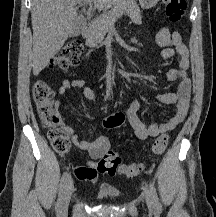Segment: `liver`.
<instances>
[{"mask_svg": "<svg viewBox=\"0 0 216 217\" xmlns=\"http://www.w3.org/2000/svg\"><path fill=\"white\" fill-rule=\"evenodd\" d=\"M85 0H32L33 74L38 75L62 48L73 27L81 21L74 6ZM98 11L121 0H92Z\"/></svg>", "mask_w": 216, "mask_h": 217, "instance_id": "1", "label": "liver"}]
</instances>
